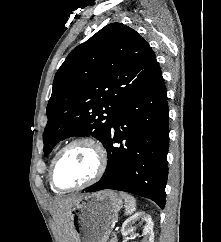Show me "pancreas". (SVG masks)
Instances as JSON below:
<instances>
[{
  "label": "pancreas",
  "mask_w": 221,
  "mask_h": 242,
  "mask_svg": "<svg viewBox=\"0 0 221 242\" xmlns=\"http://www.w3.org/2000/svg\"><path fill=\"white\" fill-rule=\"evenodd\" d=\"M109 242H117V237L114 235V237L111 238V240Z\"/></svg>",
  "instance_id": "obj_1"
}]
</instances>
